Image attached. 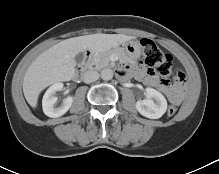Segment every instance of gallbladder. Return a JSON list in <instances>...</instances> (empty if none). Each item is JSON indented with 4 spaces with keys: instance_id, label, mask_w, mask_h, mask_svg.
Here are the masks:
<instances>
[{
    "instance_id": "1",
    "label": "gallbladder",
    "mask_w": 219,
    "mask_h": 174,
    "mask_svg": "<svg viewBox=\"0 0 219 174\" xmlns=\"http://www.w3.org/2000/svg\"><path fill=\"white\" fill-rule=\"evenodd\" d=\"M76 63L80 64L83 60V53H79L76 57H75Z\"/></svg>"
}]
</instances>
